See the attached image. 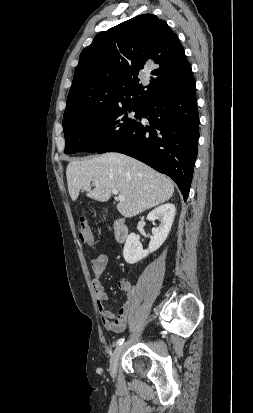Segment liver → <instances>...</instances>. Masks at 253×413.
<instances>
[{
	"mask_svg": "<svg viewBox=\"0 0 253 413\" xmlns=\"http://www.w3.org/2000/svg\"><path fill=\"white\" fill-rule=\"evenodd\" d=\"M66 177L73 201L81 189L87 192V197L100 202L108 201L112 190H118L124 200L119 201L117 210L127 218L168 201L174 193V185L169 178L121 153L111 152L71 161Z\"/></svg>",
	"mask_w": 253,
	"mask_h": 413,
	"instance_id": "6515ba94",
	"label": "liver"
}]
</instances>
